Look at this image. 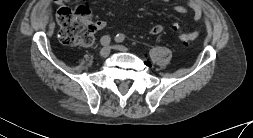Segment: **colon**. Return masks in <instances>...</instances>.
<instances>
[{
	"mask_svg": "<svg viewBox=\"0 0 253 138\" xmlns=\"http://www.w3.org/2000/svg\"><path fill=\"white\" fill-rule=\"evenodd\" d=\"M89 9L84 5L75 8L62 7L57 12V21L60 26L59 39L65 45H90L96 31L94 22L89 20ZM179 40L189 45L198 35V32L186 33L175 26Z\"/></svg>",
	"mask_w": 253,
	"mask_h": 138,
	"instance_id": "obj_1",
	"label": "colon"
}]
</instances>
